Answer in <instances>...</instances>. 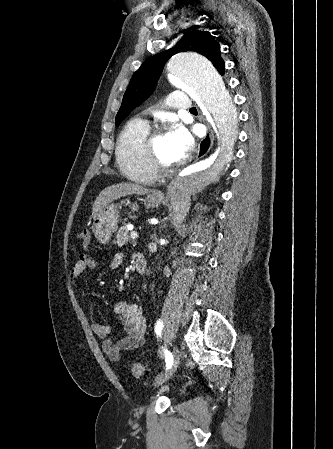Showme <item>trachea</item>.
Instances as JSON below:
<instances>
[{
  "instance_id": "trachea-1",
  "label": "trachea",
  "mask_w": 333,
  "mask_h": 449,
  "mask_svg": "<svg viewBox=\"0 0 333 449\" xmlns=\"http://www.w3.org/2000/svg\"><path fill=\"white\" fill-rule=\"evenodd\" d=\"M196 111H197V109L195 107L190 109V112H196Z\"/></svg>"
}]
</instances>
